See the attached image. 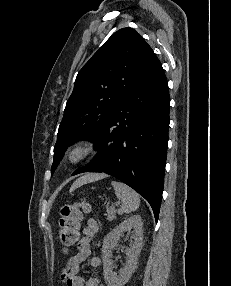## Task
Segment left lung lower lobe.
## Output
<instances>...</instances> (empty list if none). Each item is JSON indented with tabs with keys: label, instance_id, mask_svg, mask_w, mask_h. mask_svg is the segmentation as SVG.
I'll return each instance as SVG.
<instances>
[{
	"label": "left lung lower lobe",
	"instance_id": "0a47b994",
	"mask_svg": "<svg viewBox=\"0 0 231 286\" xmlns=\"http://www.w3.org/2000/svg\"><path fill=\"white\" fill-rule=\"evenodd\" d=\"M170 97L159 62L113 108L94 142L97 155L73 173L103 172L124 182L151 205L158 220L168 146Z\"/></svg>",
	"mask_w": 231,
	"mask_h": 286
}]
</instances>
